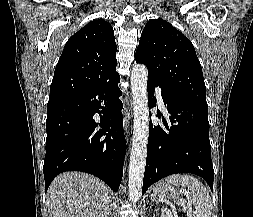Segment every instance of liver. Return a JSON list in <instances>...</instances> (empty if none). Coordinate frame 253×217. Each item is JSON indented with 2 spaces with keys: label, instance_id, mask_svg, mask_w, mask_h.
I'll list each match as a JSON object with an SVG mask.
<instances>
[{
  "label": "liver",
  "instance_id": "1",
  "mask_svg": "<svg viewBox=\"0 0 253 217\" xmlns=\"http://www.w3.org/2000/svg\"><path fill=\"white\" fill-rule=\"evenodd\" d=\"M47 204L49 217H107L110 189L90 174L64 172L51 183Z\"/></svg>",
  "mask_w": 253,
  "mask_h": 217
}]
</instances>
